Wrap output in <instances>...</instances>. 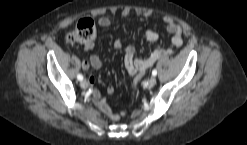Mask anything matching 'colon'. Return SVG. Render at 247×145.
I'll use <instances>...</instances> for the list:
<instances>
[{
    "label": "colon",
    "mask_w": 247,
    "mask_h": 145,
    "mask_svg": "<svg viewBox=\"0 0 247 145\" xmlns=\"http://www.w3.org/2000/svg\"><path fill=\"white\" fill-rule=\"evenodd\" d=\"M96 36V26L92 19H81L76 27L67 35V40L72 44H89ZM138 80H135V84Z\"/></svg>",
    "instance_id": "colon-1"
}]
</instances>
